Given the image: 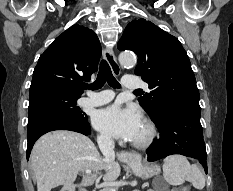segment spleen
<instances>
[{"instance_id":"3e777b00","label":"spleen","mask_w":233,"mask_h":191,"mask_svg":"<svg viewBox=\"0 0 233 191\" xmlns=\"http://www.w3.org/2000/svg\"><path fill=\"white\" fill-rule=\"evenodd\" d=\"M164 180L173 186H179L185 181H190L197 189H203L205 178L195 164H190L186 157L171 155L164 159L163 165Z\"/></svg>"}]
</instances>
